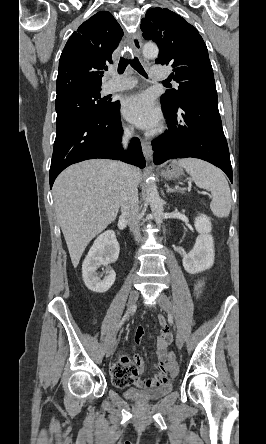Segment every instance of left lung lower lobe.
<instances>
[{"label": "left lung lower lobe", "mask_w": 266, "mask_h": 444, "mask_svg": "<svg viewBox=\"0 0 266 444\" xmlns=\"http://www.w3.org/2000/svg\"><path fill=\"white\" fill-rule=\"evenodd\" d=\"M163 111L168 129L152 142L154 163L161 164L172 158H199L222 169L232 182L229 149L217 98L188 99L176 109L163 108Z\"/></svg>", "instance_id": "left-lung-lower-lobe-1"}]
</instances>
